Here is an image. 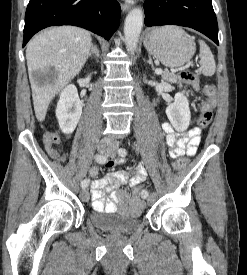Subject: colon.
Listing matches in <instances>:
<instances>
[{
	"label": "colon",
	"instance_id": "1",
	"mask_svg": "<svg viewBox=\"0 0 247 275\" xmlns=\"http://www.w3.org/2000/svg\"><path fill=\"white\" fill-rule=\"evenodd\" d=\"M179 79L182 84L191 86L195 90H202L205 95L204 100L200 106V114L197 124L200 128H207L212 121L213 111L215 108V87L212 85H204L201 87L200 77L197 73L190 70H182L179 73ZM45 141L49 145L58 143L59 135L57 133H48L45 137ZM188 159L186 157H180L172 163V167L175 171L182 170L187 165ZM111 164L109 163L108 166ZM146 191L143 187L137 186L132 189V196L141 200L143 193Z\"/></svg>",
	"mask_w": 247,
	"mask_h": 275
}]
</instances>
